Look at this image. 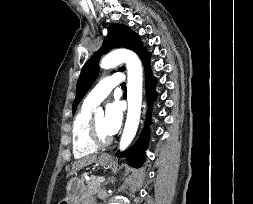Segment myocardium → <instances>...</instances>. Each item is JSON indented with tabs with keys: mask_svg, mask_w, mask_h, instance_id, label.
<instances>
[{
	"mask_svg": "<svg viewBox=\"0 0 253 204\" xmlns=\"http://www.w3.org/2000/svg\"><path fill=\"white\" fill-rule=\"evenodd\" d=\"M89 134L93 143L97 145L98 147L107 146L112 142L111 136L104 137L99 133L94 117H91V120H90Z\"/></svg>",
	"mask_w": 253,
	"mask_h": 204,
	"instance_id": "1",
	"label": "myocardium"
}]
</instances>
